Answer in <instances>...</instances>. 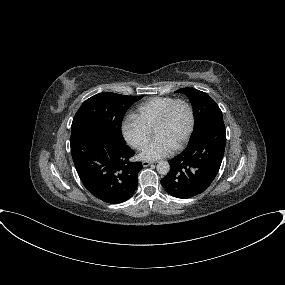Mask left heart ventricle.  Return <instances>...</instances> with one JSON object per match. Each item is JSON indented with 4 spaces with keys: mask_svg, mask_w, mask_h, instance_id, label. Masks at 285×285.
Instances as JSON below:
<instances>
[{
    "mask_svg": "<svg viewBox=\"0 0 285 285\" xmlns=\"http://www.w3.org/2000/svg\"><path fill=\"white\" fill-rule=\"evenodd\" d=\"M189 127V112L183 104H177L167 121L154 132L155 137H163L174 147L184 138Z\"/></svg>",
    "mask_w": 285,
    "mask_h": 285,
    "instance_id": "obj_1",
    "label": "left heart ventricle"
}]
</instances>
